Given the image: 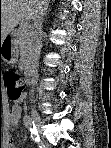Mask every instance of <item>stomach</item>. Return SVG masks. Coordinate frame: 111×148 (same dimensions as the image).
I'll return each instance as SVG.
<instances>
[{
	"label": "stomach",
	"instance_id": "stomach-1",
	"mask_svg": "<svg viewBox=\"0 0 111 148\" xmlns=\"http://www.w3.org/2000/svg\"><path fill=\"white\" fill-rule=\"evenodd\" d=\"M4 41H2V46L0 45V58L7 64H14L17 59L16 47L13 42L3 46Z\"/></svg>",
	"mask_w": 111,
	"mask_h": 148
}]
</instances>
